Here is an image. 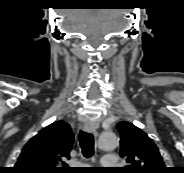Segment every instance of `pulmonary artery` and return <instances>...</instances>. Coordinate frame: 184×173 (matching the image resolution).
<instances>
[{
  "mask_svg": "<svg viewBox=\"0 0 184 173\" xmlns=\"http://www.w3.org/2000/svg\"><path fill=\"white\" fill-rule=\"evenodd\" d=\"M101 164L106 168H113L118 164V158L115 155H105Z\"/></svg>",
  "mask_w": 184,
  "mask_h": 173,
  "instance_id": "e3ab8cb5",
  "label": "pulmonary artery"
}]
</instances>
